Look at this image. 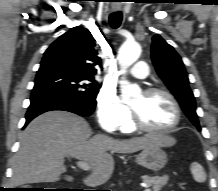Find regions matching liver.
<instances>
[{"label":"liver","mask_w":218,"mask_h":191,"mask_svg":"<svg viewBox=\"0 0 218 191\" xmlns=\"http://www.w3.org/2000/svg\"><path fill=\"white\" fill-rule=\"evenodd\" d=\"M91 129L83 118L66 112L50 111L35 118L23 131L20 148L13 162L12 186L28 183L56 182L64 169V157L71 156L91 166L84 181L105 183L114 170L108 153H134L157 145L170 147L176 143L165 134H147L128 140H117L97 134L89 139Z\"/></svg>","instance_id":"1"}]
</instances>
